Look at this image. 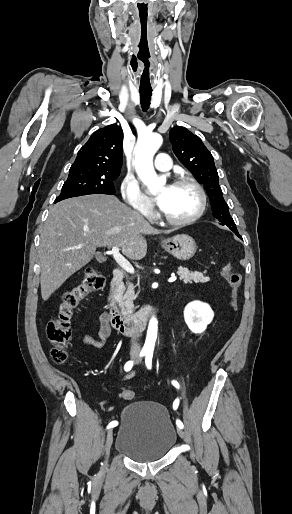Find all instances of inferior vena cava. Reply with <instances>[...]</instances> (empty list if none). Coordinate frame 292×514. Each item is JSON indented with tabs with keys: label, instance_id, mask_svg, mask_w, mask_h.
Listing matches in <instances>:
<instances>
[{
	"label": "inferior vena cava",
	"instance_id": "602c4592",
	"mask_svg": "<svg viewBox=\"0 0 292 514\" xmlns=\"http://www.w3.org/2000/svg\"><path fill=\"white\" fill-rule=\"evenodd\" d=\"M140 350V344H137V342H133L131 346V354H134V356H138Z\"/></svg>",
	"mask_w": 292,
	"mask_h": 514
}]
</instances>
